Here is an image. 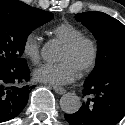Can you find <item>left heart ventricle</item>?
Listing matches in <instances>:
<instances>
[{
  "instance_id": "1",
  "label": "left heart ventricle",
  "mask_w": 125,
  "mask_h": 125,
  "mask_svg": "<svg viewBox=\"0 0 125 125\" xmlns=\"http://www.w3.org/2000/svg\"><path fill=\"white\" fill-rule=\"evenodd\" d=\"M89 56L90 49L85 44L74 51H70L63 46L59 55V60H68L79 71L86 64Z\"/></svg>"
}]
</instances>
